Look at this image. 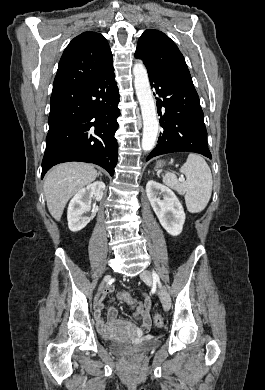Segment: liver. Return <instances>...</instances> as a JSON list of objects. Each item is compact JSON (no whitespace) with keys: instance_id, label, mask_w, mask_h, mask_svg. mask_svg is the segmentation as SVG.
Wrapping results in <instances>:
<instances>
[{"instance_id":"6515ba94","label":"liver","mask_w":265,"mask_h":390,"mask_svg":"<svg viewBox=\"0 0 265 390\" xmlns=\"http://www.w3.org/2000/svg\"><path fill=\"white\" fill-rule=\"evenodd\" d=\"M98 173L94 166L81 162H68L52 168L44 180V193L50 214L59 221L68 200Z\"/></svg>"}]
</instances>
